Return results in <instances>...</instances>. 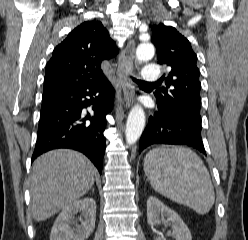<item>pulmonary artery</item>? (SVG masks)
I'll return each instance as SVG.
<instances>
[{
	"mask_svg": "<svg viewBox=\"0 0 248 240\" xmlns=\"http://www.w3.org/2000/svg\"><path fill=\"white\" fill-rule=\"evenodd\" d=\"M160 75V70L155 65H147L141 73L142 80L148 83L157 82L160 78Z\"/></svg>",
	"mask_w": 248,
	"mask_h": 240,
	"instance_id": "pulmonary-artery-1",
	"label": "pulmonary artery"
}]
</instances>
